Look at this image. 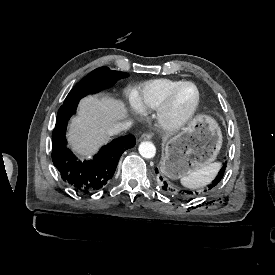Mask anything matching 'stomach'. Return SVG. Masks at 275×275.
Here are the masks:
<instances>
[{
	"label": "stomach",
	"mask_w": 275,
	"mask_h": 275,
	"mask_svg": "<svg viewBox=\"0 0 275 275\" xmlns=\"http://www.w3.org/2000/svg\"><path fill=\"white\" fill-rule=\"evenodd\" d=\"M160 171L170 179H179L216 160L222 147L217 122L197 115L178 134L163 140Z\"/></svg>",
	"instance_id": "1"
}]
</instances>
